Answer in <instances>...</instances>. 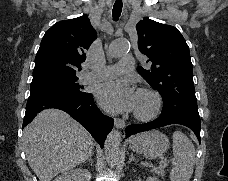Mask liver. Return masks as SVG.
<instances>
[{
  "label": "liver",
  "mask_w": 228,
  "mask_h": 181,
  "mask_svg": "<svg viewBox=\"0 0 228 181\" xmlns=\"http://www.w3.org/2000/svg\"><path fill=\"white\" fill-rule=\"evenodd\" d=\"M24 147L39 181H52L94 155V139L70 115L58 109L38 113L24 129Z\"/></svg>",
  "instance_id": "liver-1"
}]
</instances>
